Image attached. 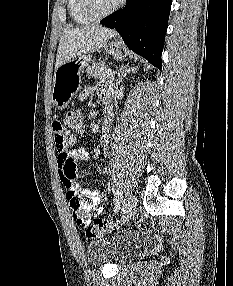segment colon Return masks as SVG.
<instances>
[{
    "label": "colon",
    "mask_w": 233,
    "mask_h": 286,
    "mask_svg": "<svg viewBox=\"0 0 233 286\" xmlns=\"http://www.w3.org/2000/svg\"><path fill=\"white\" fill-rule=\"evenodd\" d=\"M84 122V114L80 109H73L67 111L63 116V123L60 125L65 129H70L76 133H79L83 129ZM67 200L72 211L76 214V216L80 218H84L85 214L82 211V201L81 198L74 192L69 191L67 193ZM116 223L106 219H95L93 223H91L87 230L86 236L88 238H97L108 232H110L114 227H116Z\"/></svg>",
    "instance_id": "5ec220e1"
}]
</instances>
